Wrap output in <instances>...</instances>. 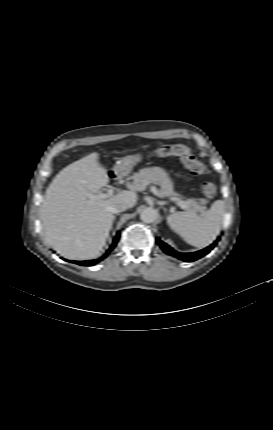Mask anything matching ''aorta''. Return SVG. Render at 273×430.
<instances>
[{
    "label": "aorta",
    "mask_w": 273,
    "mask_h": 430,
    "mask_svg": "<svg viewBox=\"0 0 273 430\" xmlns=\"http://www.w3.org/2000/svg\"><path fill=\"white\" fill-rule=\"evenodd\" d=\"M140 218L144 223H153L158 218V212L156 209L148 207L143 210Z\"/></svg>",
    "instance_id": "aorta-1"
}]
</instances>
